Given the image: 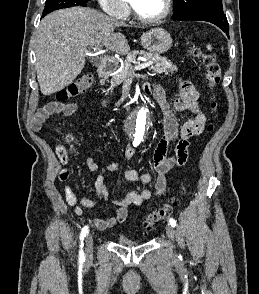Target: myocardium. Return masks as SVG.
Returning a JSON list of instances; mask_svg holds the SVG:
<instances>
[{
  "instance_id": "myocardium-1",
  "label": "myocardium",
  "mask_w": 259,
  "mask_h": 294,
  "mask_svg": "<svg viewBox=\"0 0 259 294\" xmlns=\"http://www.w3.org/2000/svg\"><path fill=\"white\" fill-rule=\"evenodd\" d=\"M172 6H173L172 0H164L163 12L155 17L142 16L141 14H139L137 12V10L135 9V7L132 4H131V10H132V13L137 21L144 23V24H153V23L161 22L164 19H166L172 11Z\"/></svg>"
}]
</instances>
